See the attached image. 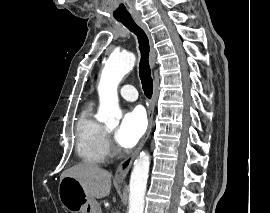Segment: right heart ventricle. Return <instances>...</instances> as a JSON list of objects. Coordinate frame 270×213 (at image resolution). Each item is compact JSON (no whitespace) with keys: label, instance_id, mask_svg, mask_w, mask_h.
<instances>
[{"label":"right heart ventricle","instance_id":"1","mask_svg":"<svg viewBox=\"0 0 270 213\" xmlns=\"http://www.w3.org/2000/svg\"><path fill=\"white\" fill-rule=\"evenodd\" d=\"M76 152L81 160L94 164L110 157L106 129L94 117L92 102L85 105L77 121Z\"/></svg>","mask_w":270,"mask_h":213}]
</instances>
